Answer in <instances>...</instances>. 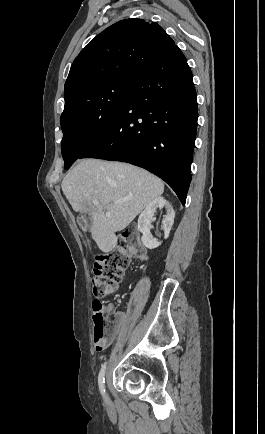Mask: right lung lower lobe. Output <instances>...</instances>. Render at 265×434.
<instances>
[{
    "label": "right lung lower lobe",
    "mask_w": 265,
    "mask_h": 434,
    "mask_svg": "<svg viewBox=\"0 0 265 434\" xmlns=\"http://www.w3.org/2000/svg\"><path fill=\"white\" fill-rule=\"evenodd\" d=\"M198 106L193 76L177 45L136 76L108 130L79 158L117 160L163 179L184 205Z\"/></svg>",
    "instance_id": "obj_1"
}]
</instances>
